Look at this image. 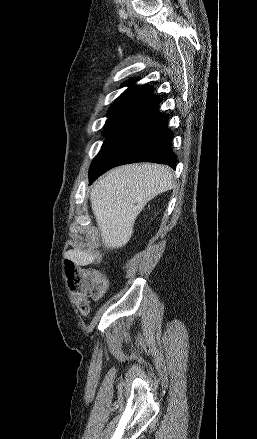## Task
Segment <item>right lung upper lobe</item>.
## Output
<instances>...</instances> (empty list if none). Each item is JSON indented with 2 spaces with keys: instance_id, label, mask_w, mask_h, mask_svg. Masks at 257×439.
I'll return each instance as SVG.
<instances>
[{
  "instance_id": "right-lung-upper-lobe-1",
  "label": "right lung upper lobe",
  "mask_w": 257,
  "mask_h": 439,
  "mask_svg": "<svg viewBox=\"0 0 257 439\" xmlns=\"http://www.w3.org/2000/svg\"><path fill=\"white\" fill-rule=\"evenodd\" d=\"M137 79L128 80L124 85L129 88L109 108L108 118L133 120L154 105L160 103V99L152 94L151 86L134 84Z\"/></svg>"
}]
</instances>
